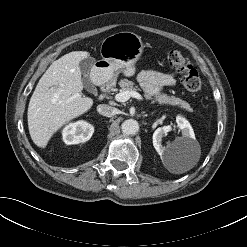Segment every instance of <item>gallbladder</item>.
I'll return each instance as SVG.
<instances>
[{"label": "gallbladder", "mask_w": 247, "mask_h": 247, "mask_svg": "<svg viewBox=\"0 0 247 247\" xmlns=\"http://www.w3.org/2000/svg\"><path fill=\"white\" fill-rule=\"evenodd\" d=\"M94 62H95V60L92 57H87L80 62L79 67H80L81 73L85 77L88 76V74L91 72L93 65H94ZM83 84H84L85 88L87 89V91H89L91 93H95L96 88L92 84V82L90 81V79L88 77H86L83 80Z\"/></svg>", "instance_id": "bac80fb5"}]
</instances>
